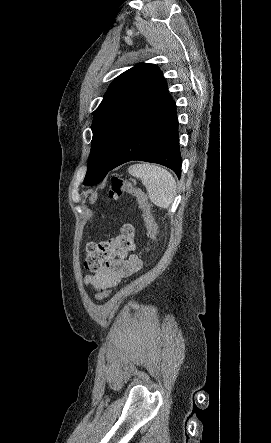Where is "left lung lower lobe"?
Instances as JSON below:
<instances>
[{"instance_id": "1", "label": "left lung lower lobe", "mask_w": 271, "mask_h": 443, "mask_svg": "<svg viewBox=\"0 0 271 443\" xmlns=\"http://www.w3.org/2000/svg\"><path fill=\"white\" fill-rule=\"evenodd\" d=\"M132 160L164 165L180 178L181 155L176 105L162 75L126 128L110 171Z\"/></svg>"}]
</instances>
